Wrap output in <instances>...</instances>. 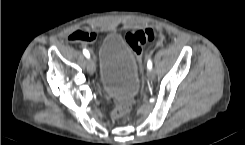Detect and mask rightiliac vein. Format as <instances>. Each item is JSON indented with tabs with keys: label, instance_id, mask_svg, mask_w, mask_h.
<instances>
[{
	"label": "right iliac vein",
	"instance_id": "right-iliac-vein-1",
	"mask_svg": "<svg viewBox=\"0 0 245 145\" xmlns=\"http://www.w3.org/2000/svg\"><path fill=\"white\" fill-rule=\"evenodd\" d=\"M87 70L89 72V74L93 75L95 72V63L93 61V59H89L87 61Z\"/></svg>",
	"mask_w": 245,
	"mask_h": 145
}]
</instances>
